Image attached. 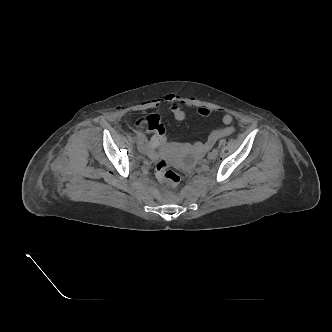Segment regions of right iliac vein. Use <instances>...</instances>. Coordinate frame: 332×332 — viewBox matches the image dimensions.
<instances>
[{
    "mask_svg": "<svg viewBox=\"0 0 332 332\" xmlns=\"http://www.w3.org/2000/svg\"><path fill=\"white\" fill-rule=\"evenodd\" d=\"M137 148L140 152L144 151V149H145L144 140H142V139L137 140Z\"/></svg>",
    "mask_w": 332,
    "mask_h": 332,
    "instance_id": "obj_1",
    "label": "right iliac vein"
}]
</instances>
